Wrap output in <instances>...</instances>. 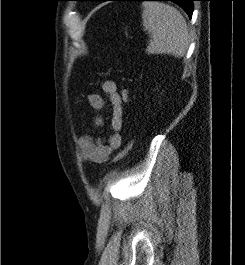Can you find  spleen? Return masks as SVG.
Masks as SVG:
<instances>
[{
	"label": "spleen",
	"mask_w": 245,
	"mask_h": 265,
	"mask_svg": "<svg viewBox=\"0 0 245 265\" xmlns=\"http://www.w3.org/2000/svg\"><path fill=\"white\" fill-rule=\"evenodd\" d=\"M142 9V24L152 37L146 51L183 57L189 46V30L182 14L163 2H143Z\"/></svg>",
	"instance_id": "3e777b00"
}]
</instances>
